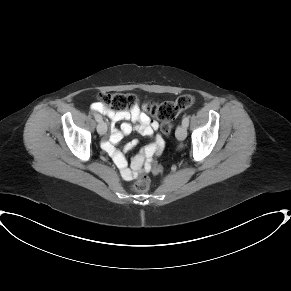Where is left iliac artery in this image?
<instances>
[{
  "mask_svg": "<svg viewBox=\"0 0 291 291\" xmlns=\"http://www.w3.org/2000/svg\"><path fill=\"white\" fill-rule=\"evenodd\" d=\"M182 125H183L184 127H188V125H189V117H188V116H185V117L183 118V120H182Z\"/></svg>",
  "mask_w": 291,
  "mask_h": 291,
  "instance_id": "1",
  "label": "left iliac artery"
}]
</instances>
